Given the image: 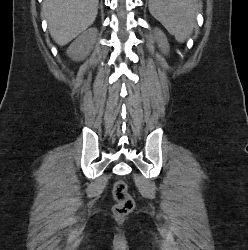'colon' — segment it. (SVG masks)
<instances>
[{"label": "colon", "mask_w": 248, "mask_h": 250, "mask_svg": "<svg viewBox=\"0 0 248 250\" xmlns=\"http://www.w3.org/2000/svg\"><path fill=\"white\" fill-rule=\"evenodd\" d=\"M112 192L115 199L113 215L118 218L126 217L134 209V200L128 191L127 184L122 180L116 181Z\"/></svg>", "instance_id": "1"}]
</instances>
